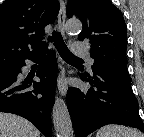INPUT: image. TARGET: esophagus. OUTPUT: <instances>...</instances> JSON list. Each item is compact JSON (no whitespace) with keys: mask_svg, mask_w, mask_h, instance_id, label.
<instances>
[{"mask_svg":"<svg viewBox=\"0 0 144 137\" xmlns=\"http://www.w3.org/2000/svg\"><path fill=\"white\" fill-rule=\"evenodd\" d=\"M65 20H66L65 3L61 1L60 10L58 14V26H59L60 32L63 35L65 33ZM65 73H66V69L63 66H60L58 78H57V86H58L59 92L63 96L66 94L67 88H68Z\"/></svg>","mask_w":144,"mask_h":137,"instance_id":"obj_1","label":"esophagus"}]
</instances>
